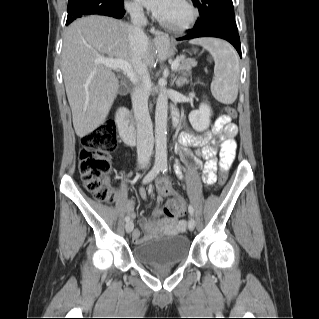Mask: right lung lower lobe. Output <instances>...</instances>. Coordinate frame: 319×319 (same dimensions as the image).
Here are the masks:
<instances>
[{
    "mask_svg": "<svg viewBox=\"0 0 319 319\" xmlns=\"http://www.w3.org/2000/svg\"><path fill=\"white\" fill-rule=\"evenodd\" d=\"M124 14H125V10L123 6V2L119 6L114 7L112 10L98 13V15L110 16L117 19L122 18Z\"/></svg>",
    "mask_w": 319,
    "mask_h": 319,
    "instance_id": "1",
    "label": "right lung lower lobe"
}]
</instances>
